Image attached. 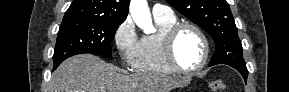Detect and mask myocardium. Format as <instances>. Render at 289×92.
<instances>
[{"label":"myocardium","mask_w":289,"mask_h":92,"mask_svg":"<svg viewBox=\"0 0 289 92\" xmlns=\"http://www.w3.org/2000/svg\"><path fill=\"white\" fill-rule=\"evenodd\" d=\"M191 29L195 31L201 38L204 45V53L201 63L193 69H185L179 65L175 57V43L179 34L185 30ZM162 51L167 65L174 71L180 74L193 75L204 69L210 56V43L205 32L197 25L189 22H178L171 26L163 35Z\"/></svg>","instance_id":"obj_1"}]
</instances>
